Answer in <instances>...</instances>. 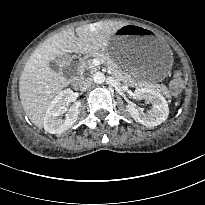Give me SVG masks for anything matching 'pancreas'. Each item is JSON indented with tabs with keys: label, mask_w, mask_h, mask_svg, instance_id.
<instances>
[{
	"label": "pancreas",
	"mask_w": 205,
	"mask_h": 205,
	"mask_svg": "<svg viewBox=\"0 0 205 205\" xmlns=\"http://www.w3.org/2000/svg\"><path fill=\"white\" fill-rule=\"evenodd\" d=\"M93 58H97L102 63H104L107 66V68L111 71L112 76L116 80L122 81L124 84L130 85V86H142L143 85L142 83L134 80L130 75L120 70L117 64L109 56L101 52L91 53L83 59L82 65L85 69H89L91 72H94L97 70V67L93 64ZM150 87L153 89L160 88L159 86H150Z\"/></svg>",
	"instance_id": "1"
}]
</instances>
